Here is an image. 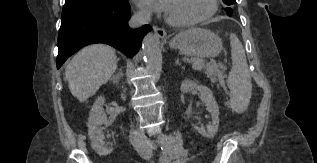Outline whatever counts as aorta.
<instances>
[{"instance_id":"762f6f07","label":"aorta","mask_w":317,"mask_h":163,"mask_svg":"<svg viewBox=\"0 0 317 163\" xmlns=\"http://www.w3.org/2000/svg\"><path fill=\"white\" fill-rule=\"evenodd\" d=\"M142 53L146 66L156 69L160 61V39L157 34L148 33L142 42Z\"/></svg>"}]
</instances>
